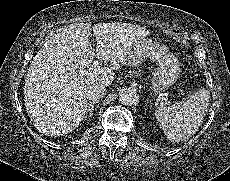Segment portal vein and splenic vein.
<instances>
[{"mask_svg":"<svg viewBox=\"0 0 230 181\" xmlns=\"http://www.w3.org/2000/svg\"><path fill=\"white\" fill-rule=\"evenodd\" d=\"M93 66H94V67H98V66H99V62H98V61H94V62H93Z\"/></svg>","mask_w":230,"mask_h":181,"instance_id":"1","label":"portal vein and splenic vein"}]
</instances>
